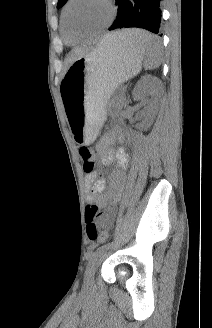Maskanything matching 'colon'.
I'll return each instance as SVG.
<instances>
[{"mask_svg": "<svg viewBox=\"0 0 212 328\" xmlns=\"http://www.w3.org/2000/svg\"><path fill=\"white\" fill-rule=\"evenodd\" d=\"M79 153L83 161L84 172H92L95 164L92 149L88 146H83L79 149ZM100 215L101 211L98 205L89 204L86 207V232L88 238L93 242H102L106 238L104 231L98 223Z\"/></svg>", "mask_w": 212, "mask_h": 328, "instance_id": "obj_1", "label": "colon"}]
</instances>
